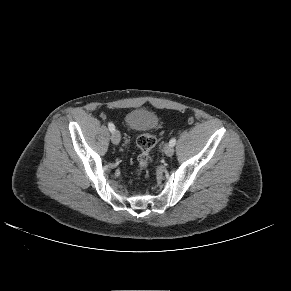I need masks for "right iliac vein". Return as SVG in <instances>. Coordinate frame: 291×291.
Returning <instances> with one entry per match:
<instances>
[{"label": "right iliac vein", "instance_id": "1", "mask_svg": "<svg viewBox=\"0 0 291 291\" xmlns=\"http://www.w3.org/2000/svg\"><path fill=\"white\" fill-rule=\"evenodd\" d=\"M121 140V135L118 130H114L111 135V141L113 144L118 145Z\"/></svg>", "mask_w": 291, "mask_h": 291}]
</instances>
